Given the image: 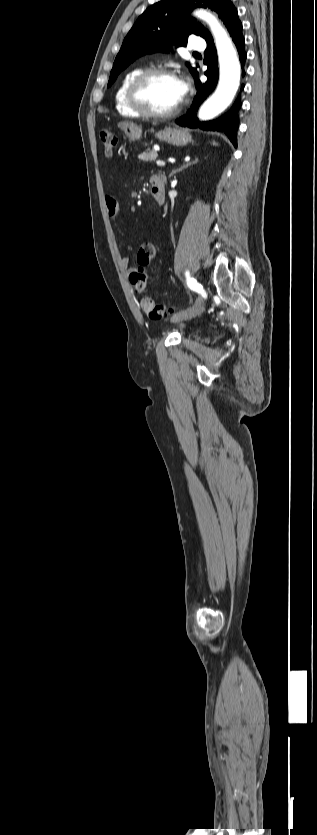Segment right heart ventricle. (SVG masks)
Here are the masks:
<instances>
[{"label": "right heart ventricle", "instance_id": "e07e8e85", "mask_svg": "<svg viewBox=\"0 0 317 835\" xmlns=\"http://www.w3.org/2000/svg\"><path fill=\"white\" fill-rule=\"evenodd\" d=\"M143 71H144V69L141 68V67L134 68V69L130 70L129 72H127L124 75V77L121 79V81H120V83L117 87V90H116V93H115V106H116L117 111L124 116H129V117H140L141 116L139 113H137L130 106V104L128 102V98H127V91H128L129 85L131 84L133 79Z\"/></svg>", "mask_w": 317, "mask_h": 835}]
</instances>
